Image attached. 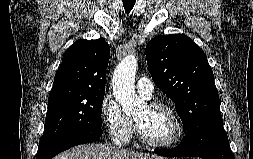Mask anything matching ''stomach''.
<instances>
[{
    "instance_id": "obj_1",
    "label": "stomach",
    "mask_w": 253,
    "mask_h": 159,
    "mask_svg": "<svg viewBox=\"0 0 253 159\" xmlns=\"http://www.w3.org/2000/svg\"><path fill=\"white\" fill-rule=\"evenodd\" d=\"M148 159H162V158H159V157H150Z\"/></svg>"
}]
</instances>
